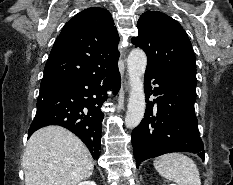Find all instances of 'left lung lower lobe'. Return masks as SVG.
<instances>
[{
    "label": "left lung lower lobe",
    "instance_id": "1",
    "mask_svg": "<svg viewBox=\"0 0 233 185\" xmlns=\"http://www.w3.org/2000/svg\"><path fill=\"white\" fill-rule=\"evenodd\" d=\"M158 86L152 90L159 96L149 102L150 81ZM145 93L147 107L144 119L132 131L133 153L136 166L146 159L170 152H193L204 159V146L199 136L194 103L196 100L195 78L162 74L146 69ZM157 102V107L154 104Z\"/></svg>",
    "mask_w": 233,
    "mask_h": 185
}]
</instances>
